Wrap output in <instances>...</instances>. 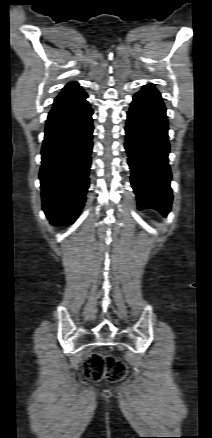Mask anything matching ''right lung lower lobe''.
<instances>
[{
    "label": "right lung lower lobe",
    "instance_id": "obj_1",
    "mask_svg": "<svg viewBox=\"0 0 212 438\" xmlns=\"http://www.w3.org/2000/svg\"><path fill=\"white\" fill-rule=\"evenodd\" d=\"M87 94L54 101L42 147V208L55 225L72 224L85 202L91 166L92 114Z\"/></svg>",
    "mask_w": 212,
    "mask_h": 438
}]
</instances>
